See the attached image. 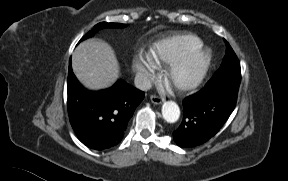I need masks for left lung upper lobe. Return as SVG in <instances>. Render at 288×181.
I'll return each mask as SVG.
<instances>
[{"label":"left lung upper lobe","instance_id":"1","mask_svg":"<svg viewBox=\"0 0 288 181\" xmlns=\"http://www.w3.org/2000/svg\"><path fill=\"white\" fill-rule=\"evenodd\" d=\"M224 41L227 46L225 57L218 71L207 83V86L238 92L241 80L240 63L233 49L226 40Z\"/></svg>","mask_w":288,"mask_h":181}]
</instances>
